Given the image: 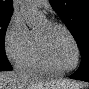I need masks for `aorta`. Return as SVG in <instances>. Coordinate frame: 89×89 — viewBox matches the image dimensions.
Instances as JSON below:
<instances>
[{
	"instance_id": "762f6f07",
	"label": "aorta",
	"mask_w": 89,
	"mask_h": 89,
	"mask_svg": "<svg viewBox=\"0 0 89 89\" xmlns=\"http://www.w3.org/2000/svg\"><path fill=\"white\" fill-rule=\"evenodd\" d=\"M20 9L27 25L31 28L40 24L45 18L44 14L37 9L34 0H21Z\"/></svg>"
}]
</instances>
